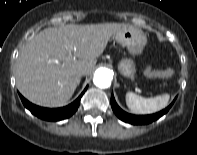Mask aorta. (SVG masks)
<instances>
[{"mask_svg": "<svg viewBox=\"0 0 197 155\" xmlns=\"http://www.w3.org/2000/svg\"><path fill=\"white\" fill-rule=\"evenodd\" d=\"M113 78V73L108 68H99L94 74V84L101 88L109 87L111 80Z\"/></svg>", "mask_w": 197, "mask_h": 155, "instance_id": "1", "label": "aorta"}]
</instances>
